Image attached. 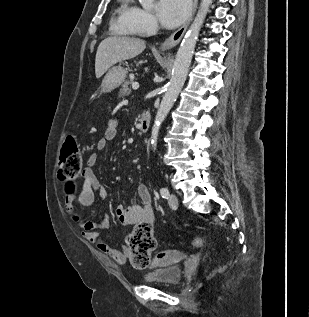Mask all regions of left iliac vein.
<instances>
[{"mask_svg":"<svg viewBox=\"0 0 309 317\" xmlns=\"http://www.w3.org/2000/svg\"><path fill=\"white\" fill-rule=\"evenodd\" d=\"M168 204L172 209H177L178 207V198L175 194L171 193L168 197Z\"/></svg>","mask_w":309,"mask_h":317,"instance_id":"1","label":"left iliac vein"}]
</instances>
